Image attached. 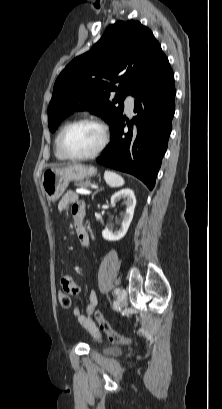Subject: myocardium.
I'll return each instance as SVG.
<instances>
[{"label": "myocardium", "instance_id": "1", "mask_svg": "<svg viewBox=\"0 0 222 409\" xmlns=\"http://www.w3.org/2000/svg\"><path fill=\"white\" fill-rule=\"evenodd\" d=\"M94 124L96 126H98L101 131H102V142L100 144V146L93 152L90 154H86V155H72L70 154L65 146V140L66 137L68 135V133L76 126L81 125V124ZM110 141V130L108 125L101 119L96 118V117H84V118H80L77 119L73 122H71L62 132L61 137H60V150L62 152V154L64 155V157L68 160H72V161H82V160H90V159H94L96 157H98L107 147L108 143Z\"/></svg>", "mask_w": 222, "mask_h": 409}]
</instances>
